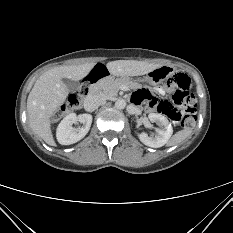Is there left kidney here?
Masks as SVG:
<instances>
[{"instance_id": "left-kidney-1", "label": "left kidney", "mask_w": 233, "mask_h": 233, "mask_svg": "<svg viewBox=\"0 0 233 233\" xmlns=\"http://www.w3.org/2000/svg\"><path fill=\"white\" fill-rule=\"evenodd\" d=\"M148 118L151 122H155L159 125V129H156V136L149 137L146 133L142 132L138 134L140 141L146 146L152 148H159L168 143L173 133L171 123L166 117L158 113H150Z\"/></svg>"}]
</instances>
